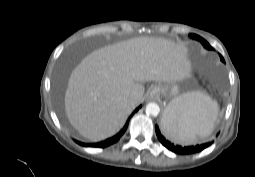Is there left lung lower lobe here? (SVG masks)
Returning <instances> with one entry per match:
<instances>
[{"label":"left lung lower lobe","instance_id":"1","mask_svg":"<svg viewBox=\"0 0 255 177\" xmlns=\"http://www.w3.org/2000/svg\"><path fill=\"white\" fill-rule=\"evenodd\" d=\"M155 130H156V134L157 137L159 139V141L170 151L179 154V155H190V154H194V153H198L201 152L202 150H204L205 148L209 147L212 142H208L205 144H200V145H196V146H187V147H183L180 145H175L172 142H170L169 140H167L163 135H161L160 130L158 128V126H155Z\"/></svg>","mask_w":255,"mask_h":177}]
</instances>
